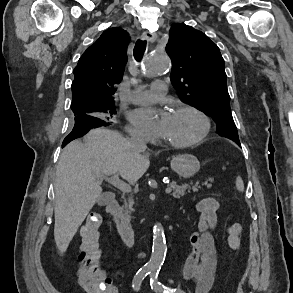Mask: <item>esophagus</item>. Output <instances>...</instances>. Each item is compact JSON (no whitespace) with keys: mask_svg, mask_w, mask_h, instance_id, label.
Segmentation results:
<instances>
[{"mask_svg":"<svg viewBox=\"0 0 293 293\" xmlns=\"http://www.w3.org/2000/svg\"><path fill=\"white\" fill-rule=\"evenodd\" d=\"M156 38H157V35H156V33H153V32H144L142 34V39L146 40L150 43L154 42L156 40Z\"/></svg>","mask_w":293,"mask_h":293,"instance_id":"obj_1","label":"esophagus"}]
</instances>
